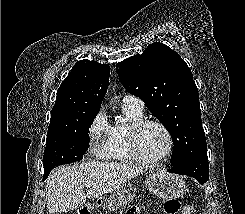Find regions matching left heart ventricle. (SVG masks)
I'll list each match as a JSON object with an SVG mask.
<instances>
[{"label":"left heart ventricle","instance_id":"left-heart-ventricle-1","mask_svg":"<svg viewBox=\"0 0 245 214\" xmlns=\"http://www.w3.org/2000/svg\"><path fill=\"white\" fill-rule=\"evenodd\" d=\"M141 153L150 159L160 157L167 148V138L164 132L156 126L143 129L138 138Z\"/></svg>","mask_w":245,"mask_h":214}]
</instances>
